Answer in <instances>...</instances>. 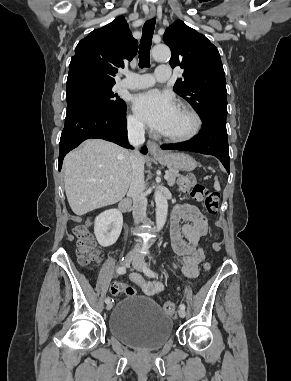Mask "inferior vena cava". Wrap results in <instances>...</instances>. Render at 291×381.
I'll return each mask as SVG.
<instances>
[{
	"instance_id": "1",
	"label": "inferior vena cava",
	"mask_w": 291,
	"mask_h": 381,
	"mask_svg": "<svg viewBox=\"0 0 291 381\" xmlns=\"http://www.w3.org/2000/svg\"><path fill=\"white\" fill-rule=\"evenodd\" d=\"M129 143L136 147V150L131 152V182L129 194L133 199V218L135 223L138 224L146 218L147 198L144 192V163L142 155L137 150L139 145L145 142L144 125L143 123L133 120L129 121L127 125ZM139 248L137 243L134 249L136 252Z\"/></svg>"
}]
</instances>
